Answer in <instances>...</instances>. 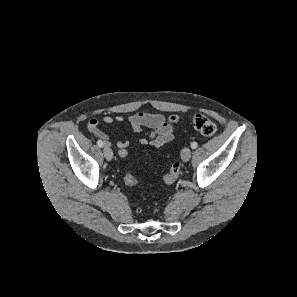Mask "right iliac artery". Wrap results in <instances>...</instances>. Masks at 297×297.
Returning <instances> with one entry per match:
<instances>
[{
  "label": "right iliac artery",
  "instance_id": "right-iliac-artery-1",
  "mask_svg": "<svg viewBox=\"0 0 297 297\" xmlns=\"http://www.w3.org/2000/svg\"><path fill=\"white\" fill-rule=\"evenodd\" d=\"M97 144H98L99 147H103V146H104V143H103V141H101V140H98V141H97Z\"/></svg>",
  "mask_w": 297,
  "mask_h": 297
}]
</instances>
